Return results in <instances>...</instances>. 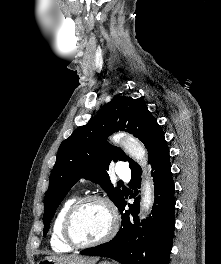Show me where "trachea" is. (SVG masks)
Returning <instances> with one entry per match:
<instances>
[{
    "label": "trachea",
    "instance_id": "trachea-1",
    "mask_svg": "<svg viewBox=\"0 0 221 264\" xmlns=\"http://www.w3.org/2000/svg\"><path fill=\"white\" fill-rule=\"evenodd\" d=\"M118 183L122 184V183H123V181H119Z\"/></svg>",
    "mask_w": 221,
    "mask_h": 264
}]
</instances>
